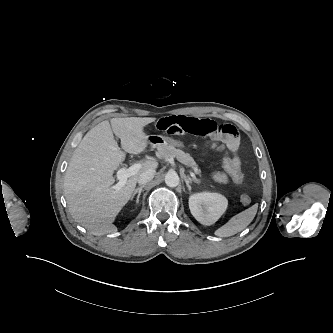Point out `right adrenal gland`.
<instances>
[{
    "label": "right adrenal gland",
    "mask_w": 333,
    "mask_h": 333,
    "mask_svg": "<svg viewBox=\"0 0 333 333\" xmlns=\"http://www.w3.org/2000/svg\"><path fill=\"white\" fill-rule=\"evenodd\" d=\"M144 187H145V185H142V186L136 188V189L134 190V192L132 193L131 200H133L134 196L138 193V195H137V199H136V203H137V205H138V203H139V198H140V196H141V192H142V190H143Z\"/></svg>",
    "instance_id": "2a0ac1e0"
}]
</instances>
